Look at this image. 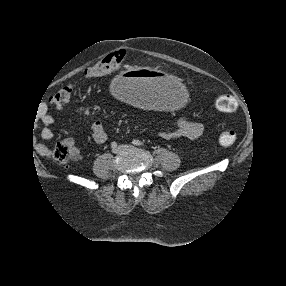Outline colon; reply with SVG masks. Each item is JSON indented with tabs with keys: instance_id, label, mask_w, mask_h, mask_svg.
<instances>
[{
	"instance_id": "obj_1",
	"label": "colon",
	"mask_w": 286,
	"mask_h": 286,
	"mask_svg": "<svg viewBox=\"0 0 286 286\" xmlns=\"http://www.w3.org/2000/svg\"><path fill=\"white\" fill-rule=\"evenodd\" d=\"M125 57L126 53L123 50L108 54L93 66L89 67L84 74V78L93 79L120 72L124 65ZM73 93L74 85L67 84L50 97V102L56 107H62L70 102ZM216 107L223 113H233L237 110L238 103L234 97L225 95L218 98ZM218 140L220 145L224 147L233 146L237 141V133L231 129L223 130L220 132ZM51 155L52 158L59 163L67 162L69 159L73 158L72 151L64 143L55 144L52 148Z\"/></svg>"
}]
</instances>
